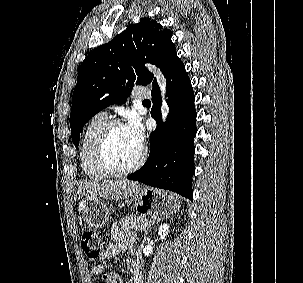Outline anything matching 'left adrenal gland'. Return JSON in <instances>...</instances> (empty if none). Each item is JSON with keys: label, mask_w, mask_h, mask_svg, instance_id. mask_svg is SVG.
I'll return each instance as SVG.
<instances>
[{"label": "left adrenal gland", "mask_w": 303, "mask_h": 283, "mask_svg": "<svg viewBox=\"0 0 303 283\" xmlns=\"http://www.w3.org/2000/svg\"><path fill=\"white\" fill-rule=\"evenodd\" d=\"M162 220V218L158 217L157 219L153 220L149 225L148 227L145 229L144 231V240L147 239V233H148V230L151 228L152 225H154L155 223L157 222H160Z\"/></svg>", "instance_id": "left-adrenal-gland-1"}]
</instances>
